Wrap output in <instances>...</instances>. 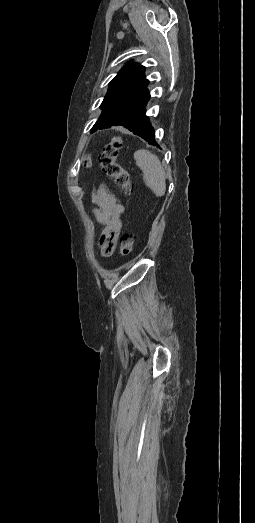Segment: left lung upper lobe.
<instances>
[{
    "label": "left lung upper lobe",
    "instance_id": "1",
    "mask_svg": "<svg viewBox=\"0 0 255 523\" xmlns=\"http://www.w3.org/2000/svg\"><path fill=\"white\" fill-rule=\"evenodd\" d=\"M144 71V66L130 62L112 79L101 104L102 114L91 133L118 125L138 136L142 134L140 130H153L151 125L155 123L145 115V104L150 94L146 88L149 80L145 78Z\"/></svg>",
    "mask_w": 255,
    "mask_h": 523
}]
</instances>
